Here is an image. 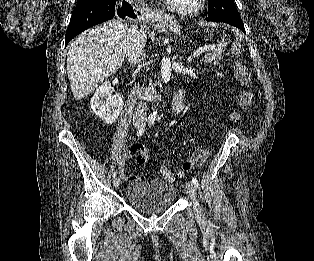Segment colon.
Returning <instances> with one entry per match:
<instances>
[{
	"label": "colon",
	"instance_id": "colon-1",
	"mask_svg": "<svg viewBox=\"0 0 314 261\" xmlns=\"http://www.w3.org/2000/svg\"><path fill=\"white\" fill-rule=\"evenodd\" d=\"M238 47L233 46V54H237ZM235 77L237 81L244 87L241 93L238 96V104L240 110H243L249 107L252 103V92L250 90L251 75L249 69L239 61H235ZM240 119V112L234 113L232 116V121L237 122ZM209 151L208 149H198L191 159L186 160L182 164V170L185 172L190 171L195 166L201 165L208 158ZM138 163L144 164L148 161V157L144 155H139L137 158Z\"/></svg>",
	"mask_w": 314,
	"mask_h": 261
}]
</instances>
